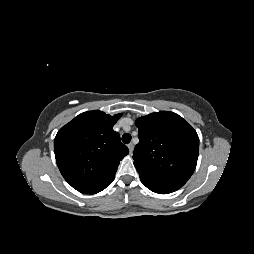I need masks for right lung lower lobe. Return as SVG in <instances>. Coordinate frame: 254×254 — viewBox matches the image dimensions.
<instances>
[{
	"label": "right lung lower lobe",
	"instance_id": "1",
	"mask_svg": "<svg viewBox=\"0 0 254 254\" xmlns=\"http://www.w3.org/2000/svg\"><path fill=\"white\" fill-rule=\"evenodd\" d=\"M113 180H114V179H113ZM113 180H111V181H109L108 183H106L105 185H103V186L97 188L96 190H94V191H92V192H89V193H86V194H95V193H98V192L104 190L108 185H110V184L112 183Z\"/></svg>",
	"mask_w": 254,
	"mask_h": 254
}]
</instances>
